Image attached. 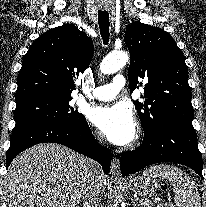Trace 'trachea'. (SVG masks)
Instances as JSON below:
<instances>
[{
	"label": "trachea",
	"mask_w": 206,
	"mask_h": 207,
	"mask_svg": "<svg viewBox=\"0 0 206 207\" xmlns=\"http://www.w3.org/2000/svg\"><path fill=\"white\" fill-rule=\"evenodd\" d=\"M98 24L100 28V34L103 39L104 44H108L109 42V14L108 12H98Z\"/></svg>",
	"instance_id": "3493384b"
}]
</instances>
